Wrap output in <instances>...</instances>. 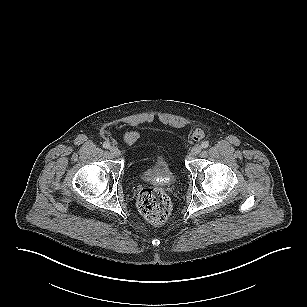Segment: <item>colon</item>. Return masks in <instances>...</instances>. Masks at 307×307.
Here are the masks:
<instances>
[{
    "label": "colon",
    "instance_id": "1",
    "mask_svg": "<svg viewBox=\"0 0 307 307\" xmlns=\"http://www.w3.org/2000/svg\"><path fill=\"white\" fill-rule=\"evenodd\" d=\"M194 136L199 138V131H196ZM137 207L140 214L152 223L166 221L172 211V204L167 194L162 189L155 187H145L140 190Z\"/></svg>",
    "mask_w": 307,
    "mask_h": 307
}]
</instances>
